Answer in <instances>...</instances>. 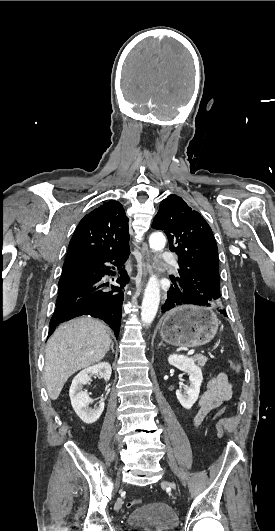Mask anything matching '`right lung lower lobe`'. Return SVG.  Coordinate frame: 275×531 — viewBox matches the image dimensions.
I'll use <instances>...</instances> for the list:
<instances>
[{"instance_id":"obj_1","label":"right lung lower lobe","mask_w":275,"mask_h":531,"mask_svg":"<svg viewBox=\"0 0 275 531\" xmlns=\"http://www.w3.org/2000/svg\"><path fill=\"white\" fill-rule=\"evenodd\" d=\"M129 254L128 245L102 255L65 260L49 335L60 323L82 315L104 320L115 335L119 334L124 299L122 288L129 282L124 263ZM109 263L119 268L117 283L120 287L111 285L110 289L109 283L102 281L104 275H114Z\"/></svg>"}]
</instances>
